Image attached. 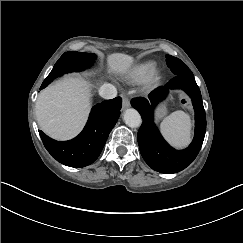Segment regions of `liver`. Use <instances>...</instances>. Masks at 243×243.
<instances>
[{
  "label": "liver",
  "instance_id": "6515ba94",
  "mask_svg": "<svg viewBox=\"0 0 243 243\" xmlns=\"http://www.w3.org/2000/svg\"><path fill=\"white\" fill-rule=\"evenodd\" d=\"M129 56H110L111 67L119 72L128 69ZM82 77H66L42 91L36 102V116L41 129L56 139H68L82 128L88 111V93Z\"/></svg>",
  "mask_w": 243,
  "mask_h": 243
}]
</instances>
